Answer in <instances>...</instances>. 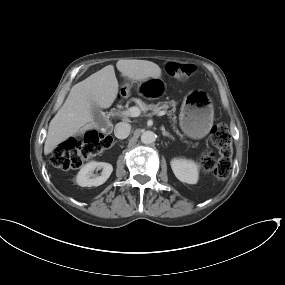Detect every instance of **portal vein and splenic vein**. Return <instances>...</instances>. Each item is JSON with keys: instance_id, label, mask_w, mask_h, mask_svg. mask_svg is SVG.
<instances>
[{"instance_id": "18ae733b", "label": "portal vein and splenic vein", "mask_w": 285, "mask_h": 285, "mask_svg": "<svg viewBox=\"0 0 285 285\" xmlns=\"http://www.w3.org/2000/svg\"><path fill=\"white\" fill-rule=\"evenodd\" d=\"M141 111L138 107H130L129 109L122 111L121 115L125 117H138L140 115ZM166 114V111H159L157 112L158 116H163Z\"/></svg>"}]
</instances>
